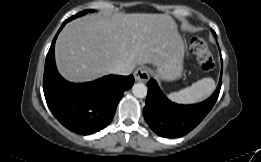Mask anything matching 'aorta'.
Returning <instances> with one entry per match:
<instances>
[{
    "label": "aorta",
    "instance_id": "obj_1",
    "mask_svg": "<svg viewBox=\"0 0 261 162\" xmlns=\"http://www.w3.org/2000/svg\"><path fill=\"white\" fill-rule=\"evenodd\" d=\"M132 93L137 98H145L147 95V87L143 83H136L132 87Z\"/></svg>",
    "mask_w": 261,
    "mask_h": 162
}]
</instances>
